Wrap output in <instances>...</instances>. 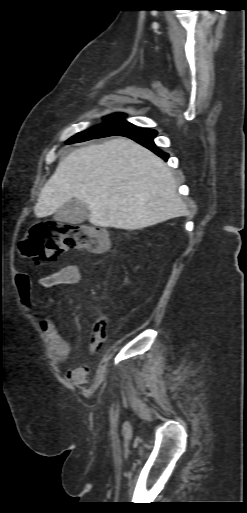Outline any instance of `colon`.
<instances>
[{
  "label": "colon",
  "instance_id": "1",
  "mask_svg": "<svg viewBox=\"0 0 247 513\" xmlns=\"http://www.w3.org/2000/svg\"><path fill=\"white\" fill-rule=\"evenodd\" d=\"M110 239L105 231L80 224L55 220L40 221L33 225L27 237L20 243L24 256L39 260H56L69 249H84L99 254L108 250ZM107 320L100 317L94 324L90 343L101 347L107 339Z\"/></svg>",
  "mask_w": 247,
  "mask_h": 513
}]
</instances>
